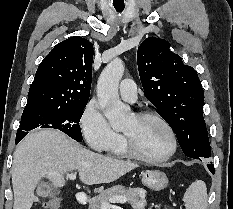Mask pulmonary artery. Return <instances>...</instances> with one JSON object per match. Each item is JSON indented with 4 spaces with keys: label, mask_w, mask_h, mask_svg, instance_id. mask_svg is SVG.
Returning a JSON list of instances; mask_svg holds the SVG:
<instances>
[{
    "label": "pulmonary artery",
    "mask_w": 233,
    "mask_h": 209,
    "mask_svg": "<svg viewBox=\"0 0 233 209\" xmlns=\"http://www.w3.org/2000/svg\"><path fill=\"white\" fill-rule=\"evenodd\" d=\"M120 97L128 102H134L137 98V87L132 79H124L119 85Z\"/></svg>",
    "instance_id": "obj_1"
}]
</instances>
